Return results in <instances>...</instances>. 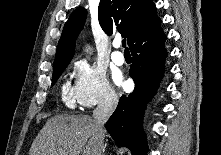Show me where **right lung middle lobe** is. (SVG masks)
<instances>
[{"label":"right lung middle lobe","mask_w":221,"mask_h":155,"mask_svg":"<svg viewBox=\"0 0 221 155\" xmlns=\"http://www.w3.org/2000/svg\"><path fill=\"white\" fill-rule=\"evenodd\" d=\"M67 65H63V66H60V67H57L54 69L53 76H52V85H54L56 83L57 79L60 77V75L65 70Z\"/></svg>","instance_id":"dd1d6c3e"}]
</instances>
